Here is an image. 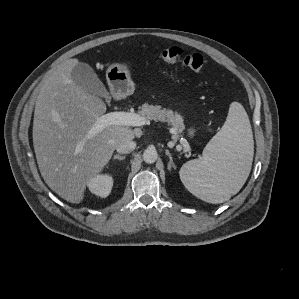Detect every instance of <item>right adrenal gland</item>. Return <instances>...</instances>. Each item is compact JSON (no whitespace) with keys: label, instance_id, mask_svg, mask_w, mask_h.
<instances>
[{"label":"right adrenal gland","instance_id":"2a0ac1e0","mask_svg":"<svg viewBox=\"0 0 299 299\" xmlns=\"http://www.w3.org/2000/svg\"><path fill=\"white\" fill-rule=\"evenodd\" d=\"M125 158H126V156H121V155H119V154H116V155H114V157H113L114 160L118 159V160H120V161L125 160Z\"/></svg>","mask_w":299,"mask_h":299}]
</instances>
